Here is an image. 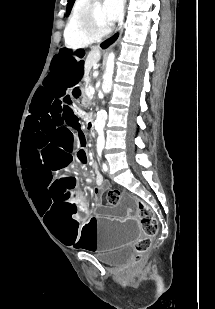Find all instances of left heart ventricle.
I'll return each instance as SVG.
<instances>
[{"mask_svg": "<svg viewBox=\"0 0 215 309\" xmlns=\"http://www.w3.org/2000/svg\"><path fill=\"white\" fill-rule=\"evenodd\" d=\"M93 25H104V10H93Z\"/></svg>", "mask_w": 215, "mask_h": 309, "instance_id": "obj_1", "label": "left heart ventricle"}]
</instances>
